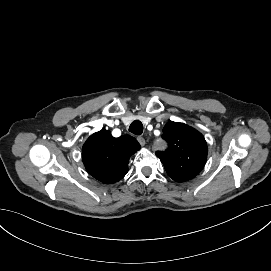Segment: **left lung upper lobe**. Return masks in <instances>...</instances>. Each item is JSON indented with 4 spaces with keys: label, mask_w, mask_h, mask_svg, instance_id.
<instances>
[{
    "label": "left lung upper lobe",
    "mask_w": 271,
    "mask_h": 271,
    "mask_svg": "<svg viewBox=\"0 0 271 271\" xmlns=\"http://www.w3.org/2000/svg\"><path fill=\"white\" fill-rule=\"evenodd\" d=\"M162 138L168 143V148L157 151L156 156L169 177L176 182H184L199 174L208 152L200 132L186 124L169 121L163 129Z\"/></svg>",
    "instance_id": "5c2ea615"
}]
</instances>
